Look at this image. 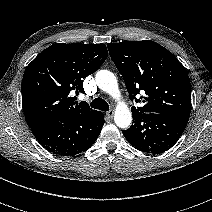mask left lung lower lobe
Returning <instances> with one entry per match:
<instances>
[{
	"mask_svg": "<svg viewBox=\"0 0 212 212\" xmlns=\"http://www.w3.org/2000/svg\"><path fill=\"white\" fill-rule=\"evenodd\" d=\"M188 119L159 113L133 115V125L123 130V135L134 148L159 154L170 149L178 141Z\"/></svg>",
	"mask_w": 212,
	"mask_h": 212,
	"instance_id": "0a47b994",
	"label": "left lung lower lobe"
}]
</instances>
